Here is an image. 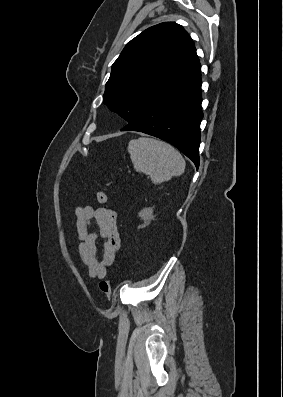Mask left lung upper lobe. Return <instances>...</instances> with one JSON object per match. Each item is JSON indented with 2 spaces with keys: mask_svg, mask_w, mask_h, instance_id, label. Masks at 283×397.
Masks as SVG:
<instances>
[{
  "mask_svg": "<svg viewBox=\"0 0 283 397\" xmlns=\"http://www.w3.org/2000/svg\"><path fill=\"white\" fill-rule=\"evenodd\" d=\"M200 71L194 42L184 28L160 23L133 38L113 63L104 104L131 123Z\"/></svg>",
  "mask_w": 283,
  "mask_h": 397,
  "instance_id": "1",
  "label": "left lung upper lobe"
}]
</instances>
